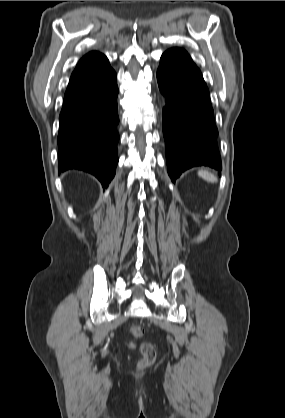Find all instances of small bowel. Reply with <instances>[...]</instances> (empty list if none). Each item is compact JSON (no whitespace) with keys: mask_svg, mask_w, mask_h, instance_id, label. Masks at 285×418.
Instances as JSON below:
<instances>
[{"mask_svg":"<svg viewBox=\"0 0 285 418\" xmlns=\"http://www.w3.org/2000/svg\"><path fill=\"white\" fill-rule=\"evenodd\" d=\"M130 347L134 348V347H135V345H134L133 343H131V344H130Z\"/></svg>","mask_w":285,"mask_h":418,"instance_id":"1","label":"small bowel"}]
</instances>
